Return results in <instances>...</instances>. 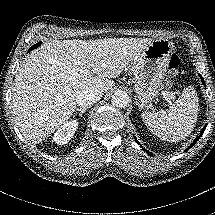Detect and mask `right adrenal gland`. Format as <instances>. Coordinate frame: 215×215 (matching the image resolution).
Instances as JSON below:
<instances>
[{"label": "right adrenal gland", "mask_w": 215, "mask_h": 215, "mask_svg": "<svg viewBox=\"0 0 215 215\" xmlns=\"http://www.w3.org/2000/svg\"><path fill=\"white\" fill-rule=\"evenodd\" d=\"M78 112V115L80 116V117H82L83 116V114L86 112V109H83V108H77L76 109V113Z\"/></svg>", "instance_id": "2a0ac1e0"}]
</instances>
